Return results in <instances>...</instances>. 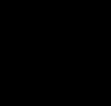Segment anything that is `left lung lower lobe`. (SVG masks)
Instances as JSON below:
<instances>
[{"mask_svg":"<svg viewBox=\"0 0 111 106\" xmlns=\"http://www.w3.org/2000/svg\"><path fill=\"white\" fill-rule=\"evenodd\" d=\"M65 15L80 54L96 67L111 70V0H74Z\"/></svg>","mask_w":111,"mask_h":106,"instance_id":"0a47b994","label":"left lung lower lobe"}]
</instances>
